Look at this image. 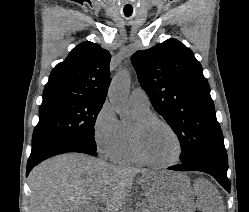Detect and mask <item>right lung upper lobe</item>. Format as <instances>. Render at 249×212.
Instances as JSON below:
<instances>
[{
	"label": "right lung upper lobe",
	"mask_w": 249,
	"mask_h": 212,
	"mask_svg": "<svg viewBox=\"0 0 249 212\" xmlns=\"http://www.w3.org/2000/svg\"><path fill=\"white\" fill-rule=\"evenodd\" d=\"M110 59V53L96 43L79 44L52 70L43 97L75 95L104 103L111 81Z\"/></svg>",
	"instance_id": "right-lung-upper-lobe-1"
}]
</instances>
